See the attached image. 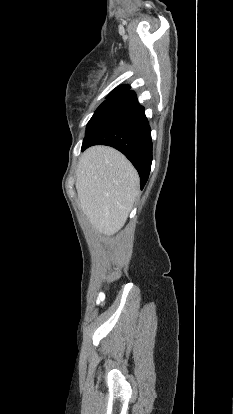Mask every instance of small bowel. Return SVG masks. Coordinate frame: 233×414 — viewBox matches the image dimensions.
I'll list each match as a JSON object with an SVG mask.
<instances>
[{
    "label": "small bowel",
    "instance_id": "small-bowel-1",
    "mask_svg": "<svg viewBox=\"0 0 233 414\" xmlns=\"http://www.w3.org/2000/svg\"><path fill=\"white\" fill-rule=\"evenodd\" d=\"M105 303V295L102 293H99L96 297V305L103 306Z\"/></svg>",
    "mask_w": 233,
    "mask_h": 414
}]
</instances>
